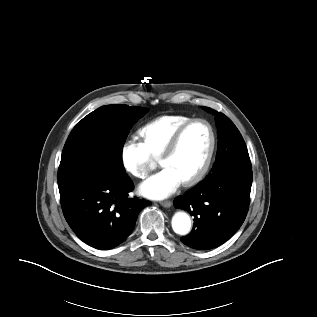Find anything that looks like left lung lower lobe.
<instances>
[{
    "mask_svg": "<svg viewBox=\"0 0 317 317\" xmlns=\"http://www.w3.org/2000/svg\"><path fill=\"white\" fill-rule=\"evenodd\" d=\"M252 170L233 169L204 179L174 200L194 216L193 229L181 241L194 249H212L229 239L243 224L249 207Z\"/></svg>",
    "mask_w": 317,
    "mask_h": 317,
    "instance_id": "1",
    "label": "left lung lower lobe"
}]
</instances>
